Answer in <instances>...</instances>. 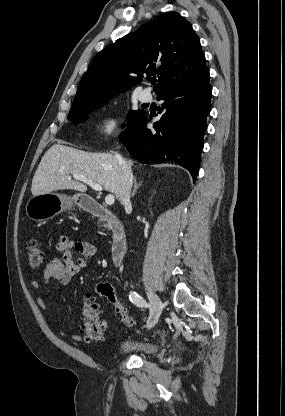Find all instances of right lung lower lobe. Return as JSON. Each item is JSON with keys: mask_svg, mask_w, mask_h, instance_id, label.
<instances>
[{"mask_svg": "<svg viewBox=\"0 0 285 416\" xmlns=\"http://www.w3.org/2000/svg\"><path fill=\"white\" fill-rule=\"evenodd\" d=\"M209 73L200 79L173 87L157 97L164 100L160 121L147 129V117L133 123L120 137L130 154L146 164L173 160L186 168L195 181L206 117L211 108Z\"/></svg>", "mask_w": 285, "mask_h": 416, "instance_id": "1", "label": "right lung lower lobe"}]
</instances>
